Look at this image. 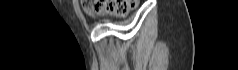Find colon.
<instances>
[{"label":"colon","mask_w":238,"mask_h":70,"mask_svg":"<svg viewBox=\"0 0 238 70\" xmlns=\"http://www.w3.org/2000/svg\"><path fill=\"white\" fill-rule=\"evenodd\" d=\"M82 3L90 16L108 14L116 17L125 16L133 4L130 0H83Z\"/></svg>","instance_id":"obj_1"}]
</instances>
